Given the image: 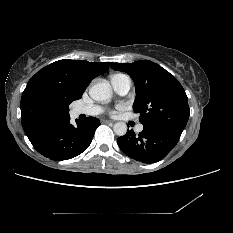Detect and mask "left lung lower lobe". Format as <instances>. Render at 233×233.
I'll use <instances>...</instances> for the list:
<instances>
[{"label":"left lung lower lobe","mask_w":233,"mask_h":233,"mask_svg":"<svg viewBox=\"0 0 233 233\" xmlns=\"http://www.w3.org/2000/svg\"><path fill=\"white\" fill-rule=\"evenodd\" d=\"M180 136V133L144 126L138 135L128 130L117 139V143L127 156L148 164L163 159L178 143Z\"/></svg>","instance_id":"0a47b994"}]
</instances>
